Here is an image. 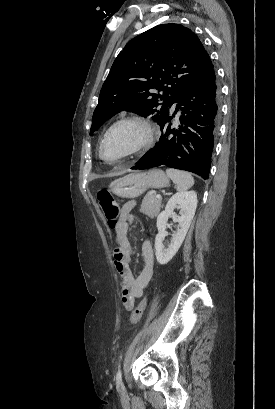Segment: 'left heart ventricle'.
<instances>
[{"mask_svg":"<svg viewBox=\"0 0 275 409\" xmlns=\"http://www.w3.org/2000/svg\"><path fill=\"white\" fill-rule=\"evenodd\" d=\"M139 130L131 125L116 128L106 139L103 146L105 157H118L129 150L139 139Z\"/></svg>","mask_w":275,"mask_h":409,"instance_id":"b2bd125f","label":"left heart ventricle"}]
</instances>
